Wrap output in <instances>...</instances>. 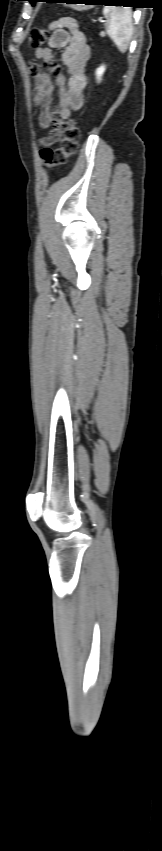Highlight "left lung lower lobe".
<instances>
[{"mask_svg": "<svg viewBox=\"0 0 162 851\" xmlns=\"http://www.w3.org/2000/svg\"><path fill=\"white\" fill-rule=\"evenodd\" d=\"M39 1L40 0H37V2H39ZM42 1L56 2V0H42ZM97 1H100V2L104 3L105 5H117V6L122 5L124 7L128 6L129 4L135 3V0H97Z\"/></svg>", "mask_w": 162, "mask_h": 851, "instance_id": "obj_1", "label": "left lung lower lobe"}]
</instances>
